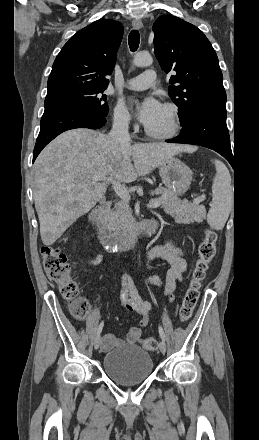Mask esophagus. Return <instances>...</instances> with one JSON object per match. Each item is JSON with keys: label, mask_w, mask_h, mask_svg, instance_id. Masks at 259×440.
<instances>
[{"label": "esophagus", "mask_w": 259, "mask_h": 440, "mask_svg": "<svg viewBox=\"0 0 259 440\" xmlns=\"http://www.w3.org/2000/svg\"><path fill=\"white\" fill-rule=\"evenodd\" d=\"M133 28L136 30H140L143 27L142 21L140 19H134L132 21Z\"/></svg>", "instance_id": "34e87169"}]
</instances>
